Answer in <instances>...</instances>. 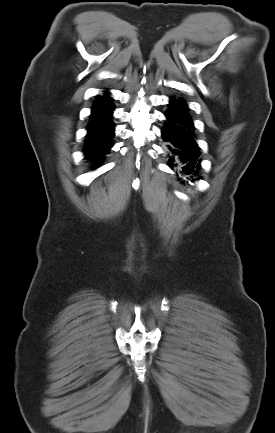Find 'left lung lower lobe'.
<instances>
[{
    "instance_id": "left-lung-lower-lobe-1",
    "label": "left lung lower lobe",
    "mask_w": 275,
    "mask_h": 433,
    "mask_svg": "<svg viewBox=\"0 0 275 433\" xmlns=\"http://www.w3.org/2000/svg\"><path fill=\"white\" fill-rule=\"evenodd\" d=\"M165 116L167 120L161 132L166 142L168 165L192 178L197 175L201 159L187 104L181 98L172 97Z\"/></svg>"
}]
</instances>
